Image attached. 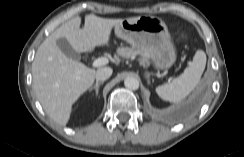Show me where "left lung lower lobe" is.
I'll list each match as a JSON object with an SVG mask.
<instances>
[{"mask_svg": "<svg viewBox=\"0 0 244 157\" xmlns=\"http://www.w3.org/2000/svg\"><path fill=\"white\" fill-rule=\"evenodd\" d=\"M198 105V99H192L189 101L182 109V114H189L191 113Z\"/></svg>", "mask_w": 244, "mask_h": 157, "instance_id": "0a47b994", "label": "left lung lower lobe"}]
</instances>
